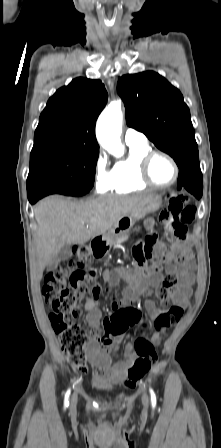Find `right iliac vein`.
I'll list each match as a JSON object with an SVG mask.
<instances>
[{"mask_svg":"<svg viewBox=\"0 0 221 448\" xmlns=\"http://www.w3.org/2000/svg\"><path fill=\"white\" fill-rule=\"evenodd\" d=\"M76 402H77V395H74L72 398V409L75 407Z\"/></svg>","mask_w":221,"mask_h":448,"instance_id":"63e3f726","label":"right iliac vein"}]
</instances>
